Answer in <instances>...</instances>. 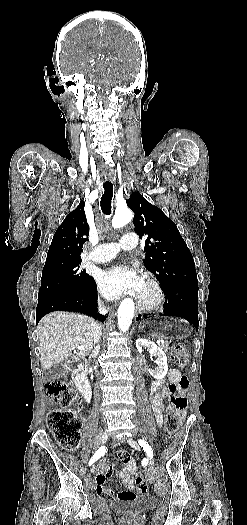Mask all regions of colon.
I'll list each match as a JSON object with an SVG mask.
<instances>
[{
	"label": "colon",
	"instance_id": "obj_1",
	"mask_svg": "<svg viewBox=\"0 0 247 525\" xmlns=\"http://www.w3.org/2000/svg\"><path fill=\"white\" fill-rule=\"evenodd\" d=\"M173 362L183 367L187 360L186 350L179 344L171 347ZM179 385L187 387L188 378L183 376ZM45 394L48 398L58 402L63 408L54 409L49 412L47 424L53 432L57 442L68 450H74L80 443V431L82 429V419L78 416L76 408L77 396L75 391L62 379L49 380L45 384ZM187 406V397L184 394H173L165 415V431L169 437L176 434L178 427L177 412L183 411ZM135 483L139 494H145L148 485L141 473H137Z\"/></svg>",
	"mask_w": 247,
	"mask_h": 525
}]
</instances>
